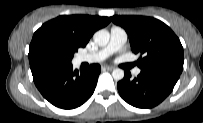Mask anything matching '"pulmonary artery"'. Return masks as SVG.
I'll return each mask as SVG.
<instances>
[{
	"mask_svg": "<svg viewBox=\"0 0 203 123\" xmlns=\"http://www.w3.org/2000/svg\"><path fill=\"white\" fill-rule=\"evenodd\" d=\"M127 35L123 28L119 26H113L110 31V42L101 50L89 54H81L78 56L77 61L79 63H96L101 62L108 58L112 53L118 51L126 42ZM141 70L139 68L134 69L133 74L139 75Z\"/></svg>",
	"mask_w": 203,
	"mask_h": 123,
	"instance_id": "pulmonary-artery-1",
	"label": "pulmonary artery"
}]
</instances>
